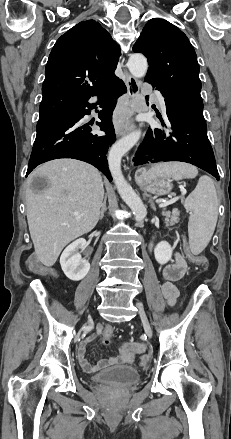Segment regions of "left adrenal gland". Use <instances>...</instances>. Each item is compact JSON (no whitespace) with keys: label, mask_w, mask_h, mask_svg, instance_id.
<instances>
[{"label":"left adrenal gland","mask_w":231,"mask_h":439,"mask_svg":"<svg viewBox=\"0 0 231 439\" xmlns=\"http://www.w3.org/2000/svg\"><path fill=\"white\" fill-rule=\"evenodd\" d=\"M143 196L149 198V203H150L151 208H152L154 211H156V207H155V204H154V200H153V198H152L150 195H148L146 192H144Z\"/></svg>","instance_id":"a2214340"}]
</instances>
